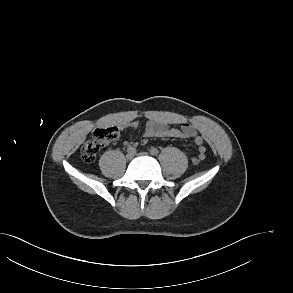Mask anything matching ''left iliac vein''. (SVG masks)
Here are the masks:
<instances>
[{
    "label": "left iliac vein",
    "mask_w": 293,
    "mask_h": 293,
    "mask_svg": "<svg viewBox=\"0 0 293 293\" xmlns=\"http://www.w3.org/2000/svg\"><path fill=\"white\" fill-rule=\"evenodd\" d=\"M140 156H147L148 154L146 152L139 153Z\"/></svg>",
    "instance_id": "obj_1"
}]
</instances>
